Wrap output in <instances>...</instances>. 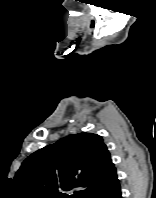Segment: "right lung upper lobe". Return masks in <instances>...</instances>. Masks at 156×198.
Instances as JSON below:
<instances>
[{
  "mask_svg": "<svg viewBox=\"0 0 156 198\" xmlns=\"http://www.w3.org/2000/svg\"><path fill=\"white\" fill-rule=\"evenodd\" d=\"M15 179L33 195L65 198H106L119 186L116 169L101 136L79 133L31 154ZM77 196V197H76Z\"/></svg>",
  "mask_w": 156,
  "mask_h": 198,
  "instance_id": "obj_1",
  "label": "right lung upper lobe"
}]
</instances>
